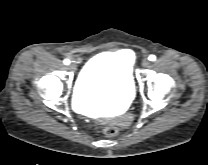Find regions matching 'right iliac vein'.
<instances>
[{
    "mask_svg": "<svg viewBox=\"0 0 208 165\" xmlns=\"http://www.w3.org/2000/svg\"><path fill=\"white\" fill-rule=\"evenodd\" d=\"M69 69L72 70V71H76L77 70V67H76V65L74 63H71L69 65Z\"/></svg>",
    "mask_w": 208,
    "mask_h": 165,
    "instance_id": "right-iliac-vein-1",
    "label": "right iliac vein"
}]
</instances>
